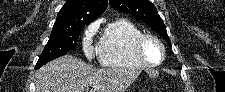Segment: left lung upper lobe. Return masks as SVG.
Masks as SVG:
<instances>
[{
  "label": "left lung upper lobe",
  "instance_id": "obj_1",
  "mask_svg": "<svg viewBox=\"0 0 225 92\" xmlns=\"http://www.w3.org/2000/svg\"><path fill=\"white\" fill-rule=\"evenodd\" d=\"M109 3L113 9L132 14L144 21L171 45L163 20L149 0H109Z\"/></svg>",
  "mask_w": 225,
  "mask_h": 92
}]
</instances>
